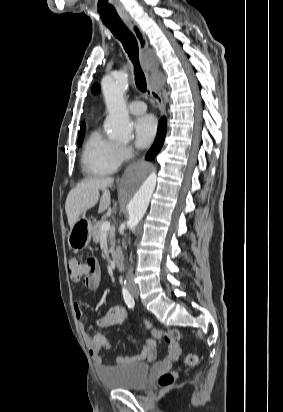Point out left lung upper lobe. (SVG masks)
<instances>
[{
    "instance_id": "1",
    "label": "left lung upper lobe",
    "mask_w": 283,
    "mask_h": 412,
    "mask_svg": "<svg viewBox=\"0 0 283 412\" xmlns=\"http://www.w3.org/2000/svg\"><path fill=\"white\" fill-rule=\"evenodd\" d=\"M92 90H93V92H98L99 87H98L97 85H95V86L92 88Z\"/></svg>"
}]
</instances>
